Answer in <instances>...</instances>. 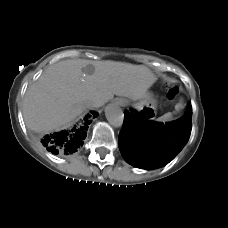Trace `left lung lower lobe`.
<instances>
[{"label":"left lung lower lobe","instance_id":"1","mask_svg":"<svg viewBox=\"0 0 228 228\" xmlns=\"http://www.w3.org/2000/svg\"><path fill=\"white\" fill-rule=\"evenodd\" d=\"M192 107L179 119L157 123L124 111V125L118 145L123 158L131 165L153 169L168 164L188 142L191 133Z\"/></svg>","mask_w":228,"mask_h":228}]
</instances>
